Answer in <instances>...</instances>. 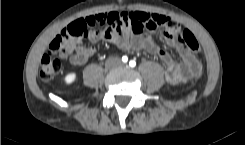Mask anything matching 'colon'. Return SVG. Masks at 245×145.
Segmentation results:
<instances>
[{
	"mask_svg": "<svg viewBox=\"0 0 245 145\" xmlns=\"http://www.w3.org/2000/svg\"><path fill=\"white\" fill-rule=\"evenodd\" d=\"M101 19V15L97 16ZM166 23L170 31L176 32L182 42L191 50L197 51L198 42L193 35L182 28L178 23L169 18L155 15L151 19L143 17L142 21L121 19L111 27L116 30H125L130 33L140 34L145 29L154 30ZM104 25V24H102ZM96 26L95 16H89L85 21L75 19L67 24L60 34L50 43L49 49L43 55L41 60L40 76L43 80H51L55 78L61 70V62L59 57L65 58L69 56L75 49L76 42L87 38L89 32Z\"/></svg>",
	"mask_w": 245,
	"mask_h": 145,
	"instance_id": "5ec220e1",
	"label": "colon"
}]
</instances>
